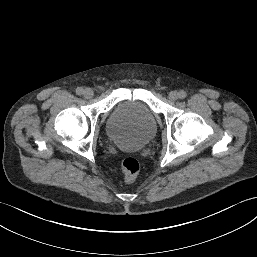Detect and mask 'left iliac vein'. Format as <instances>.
Returning a JSON list of instances; mask_svg holds the SVG:
<instances>
[{
  "label": "left iliac vein",
  "instance_id": "1",
  "mask_svg": "<svg viewBox=\"0 0 257 257\" xmlns=\"http://www.w3.org/2000/svg\"><path fill=\"white\" fill-rule=\"evenodd\" d=\"M168 97L171 101H176L178 99L179 95L176 91H171L169 93Z\"/></svg>",
  "mask_w": 257,
  "mask_h": 257
}]
</instances>
